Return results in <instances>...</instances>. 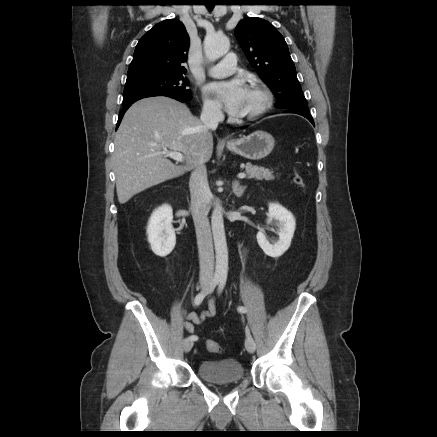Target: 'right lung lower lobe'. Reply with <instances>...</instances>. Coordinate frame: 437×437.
<instances>
[{"instance_id": "obj_1", "label": "right lung lower lobe", "mask_w": 437, "mask_h": 437, "mask_svg": "<svg viewBox=\"0 0 437 437\" xmlns=\"http://www.w3.org/2000/svg\"><path fill=\"white\" fill-rule=\"evenodd\" d=\"M168 97L174 98V99H176V100H178V101H180V102H188V101L191 100V98H189V99H184V98H177V97H172V96H168ZM131 104H132V103H131ZM131 104L123 105V108H122V110H121V112H120L119 119H118V122H117V128H118V126H119V124H120V122H121V120H122V117H123L124 113H125L126 110L131 106Z\"/></svg>"}]
</instances>
